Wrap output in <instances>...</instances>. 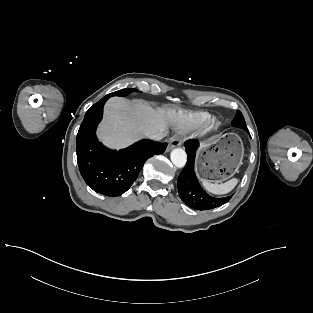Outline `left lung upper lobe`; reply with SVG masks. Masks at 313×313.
<instances>
[{"label":"left lung upper lobe","instance_id":"1","mask_svg":"<svg viewBox=\"0 0 313 313\" xmlns=\"http://www.w3.org/2000/svg\"><path fill=\"white\" fill-rule=\"evenodd\" d=\"M232 125L234 127H238V128H241L245 131H248L246 123H245V119H244V117L240 111H237V114L235 115V117L232 121Z\"/></svg>","mask_w":313,"mask_h":313}]
</instances>
